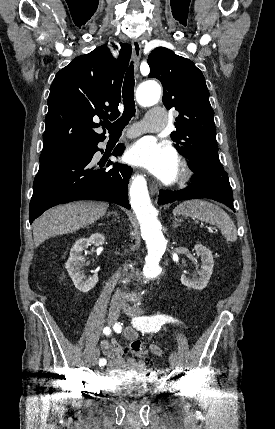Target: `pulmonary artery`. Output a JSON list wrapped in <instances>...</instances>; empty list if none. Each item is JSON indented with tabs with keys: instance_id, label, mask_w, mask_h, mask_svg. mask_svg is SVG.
Returning <instances> with one entry per match:
<instances>
[{
	"instance_id": "1",
	"label": "pulmonary artery",
	"mask_w": 275,
	"mask_h": 429,
	"mask_svg": "<svg viewBox=\"0 0 275 429\" xmlns=\"http://www.w3.org/2000/svg\"><path fill=\"white\" fill-rule=\"evenodd\" d=\"M166 122V112L162 108H153L145 116L144 120L136 124L128 133L127 137H135L144 132L158 131Z\"/></svg>"
}]
</instances>
